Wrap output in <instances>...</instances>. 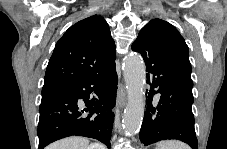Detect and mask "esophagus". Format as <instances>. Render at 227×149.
Listing matches in <instances>:
<instances>
[{
    "label": "esophagus",
    "instance_id": "obj_1",
    "mask_svg": "<svg viewBox=\"0 0 227 149\" xmlns=\"http://www.w3.org/2000/svg\"><path fill=\"white\" fill-rule=\"evenodd\" d=\"M118 107L122 109L126 103V93L123 87H120L117 95Z\"/></svg>",
    "mask_w": 227,
    "mask_h": 149
}]
</instances>
